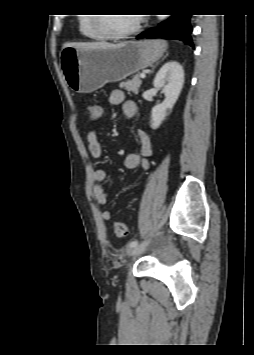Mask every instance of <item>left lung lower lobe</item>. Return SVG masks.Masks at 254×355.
Segmentation results:
<instances>
[{
	"mask_svg": "<svg viewBox=\"0 0 254 355\" xmlns=\"http://www.w3.org/2000/svg\"><path fill=\"white\" fill-rule=\"evenodd\" d=\"M190 16L188 14L172 15L167 21L160 23L156 29H150L146 33L139 34L137 39L175 38L193 46Z\"/></svg>",
	"mask_w": 254,
	"mask_h": 355,
	"instance_id": "1",
	"label": "left lung lower lobe"
}]
</instances>
